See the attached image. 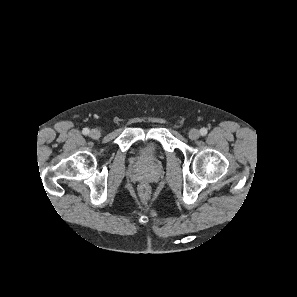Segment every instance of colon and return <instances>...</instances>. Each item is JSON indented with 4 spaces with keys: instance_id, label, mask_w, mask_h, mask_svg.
<instances>
[{
    "instance_id": "obj_1",
    "label": "colon",
    "mask_w": 297,
    "mask_h": 297,
    "mask_svg": "<svg viewBox=\"0 0 297 297\" xmlns=\"http://www.w3.org/2000/svg\"><path fill=\"white\" fill-rule=\"evenodd\" d=\"M140 196L143 199H148L150 196V188L148 185H142L140 187Z\"/></svg>"
}]
</instances>
